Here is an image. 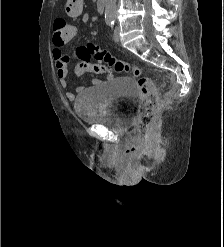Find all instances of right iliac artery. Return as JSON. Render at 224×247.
<instances>
[{
	"mask_svg": "<svg viewBox=\"0 0 224 247\" xmlns=\"http://www.w3.org/2000/svg\"><path fill=\"white\" fill-rule=\"evenodd\" d=\"M106 23H107V25H112L113 20H112V19H107V20H106Z\"/></svg>",
	"mask_w": 224,
	"mask_h": 247,
	"instance_id": "1",
	"label": "right iliac artery"
}]
</instances>
